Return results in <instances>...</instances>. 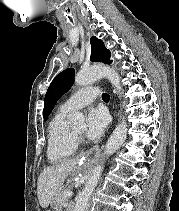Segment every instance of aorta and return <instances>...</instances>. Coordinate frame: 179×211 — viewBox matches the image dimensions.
Returning <instances> with one entry per match:
<instances>
[{
	"mask_svg": "<svg viewBox=\"0 0 179 211\" xmlns=\"http://www.w3.org/2000/svg\"><path fill=\"white\" fill-rule=\"evenodd\" d=\"M102 78H107L114 86L115 91L119 94L121 93L122 87L120 84L119 74L113 68L106 65H94L87 69H82L75 75V84L79 86H86L93 84L94 82ZM70 121L71 124L76 127H83L85 125L84 115L80 112H77L74 115H72ZM126 136H127V124L123 119L116 126L113 133L110 135L106 143L104 155L109 156L113 154L115 151H117L124 143ZM102 170H103L102 165H98L92 170L90 178L86 182L83 191L80 193L76 201L74 211H85L90 196L100 179Z\"/></svg>",
	"mask_w": 179,
	"mask_h": 211,
	"instance_id": "aorta-1",
	"label": "aorta"
}]
</instances>
